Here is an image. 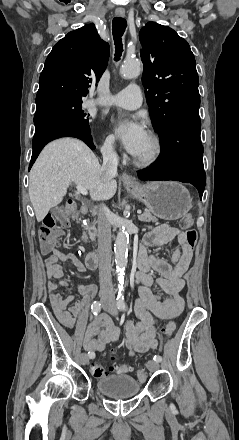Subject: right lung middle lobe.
Instances as JSON below:
<instances>
[{"instance_id": "dd1d6c3e", "label": "right lung middle lobe", "mask_w": 239, "mask_h": 440, "mask_svg": "<svg viewBox=\"0 0 239 440\" xmlns=\"http://www.w3.org/2000/svg\"><path fill=\"white\" fill-rule=\"evenodd\" d=\"M81 104L82 97L53 96L36 102V114L46 111H55L80 123L89 124V119L87 118L89 114L81 110Z\"/></svg>"}]
</instances>
